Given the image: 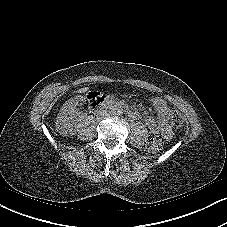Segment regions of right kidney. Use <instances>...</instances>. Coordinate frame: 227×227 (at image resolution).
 Listing matches in <instances>:
<instances>
[{"mask_svg": "<svg viewBox=\"0 0 227 227\" xmlns=\"http://www.w3.org/2000/svg\"><path fill=\"white\" fill-rule=\"evenodd\" d=\"M80 99H82L81 96H76L70 99L69 101H67L63 105L57 120V124L60 127V129L64 130L67 127H71L74 125L75 120L73 119L74 118L73 116L75 115V106Z\"/></svg>", "mask_w": 227, "mask_h": 227, "instance_id": "ca27d5eb", "label": "right kidney"}]
</instances>
